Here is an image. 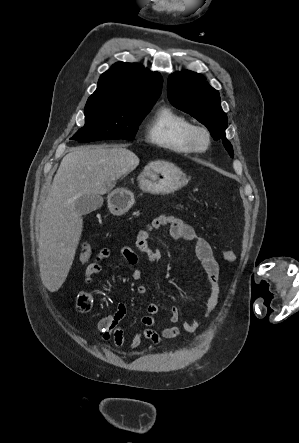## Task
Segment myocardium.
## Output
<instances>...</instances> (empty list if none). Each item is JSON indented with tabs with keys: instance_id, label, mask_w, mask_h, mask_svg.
<instances>
[{
	"instance_id": "f54148a6",
	"label": "myocardium",
	"mask_w": 299,
	"mask_h": 443,
	"mask_svg": "<svg viewBox=\"0 0 299 443\" xmlns=\"http://www.w3.org/2000/svg\"><path fill=\"white\" fill-rule=\"evenodd\" d=\"M187 143L193 152H206L211 145L210 131L202 125H193L187 134Z\"/></svg>"
}]
</instances>
